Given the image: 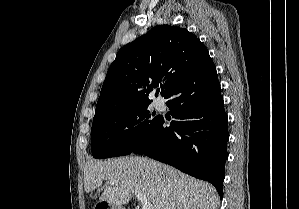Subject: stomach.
<instances>
[{
    "mask_svg": "<svg viewBox=\"0 0 299 209\" xmlns=\"http://www.w3.org/2000/svg\"><path fill=\"white\" fill-rule=\"evenodd\" d=\"M102 208H104V209H122L121 207L112 206L106 201H99L94 206V209H102Z\"/></svg>",
    "mask_w": 299,
    "mask_h": 209,
    "instance_id": "0dacf381",
    "label": "stomach"
}]
</instances>
